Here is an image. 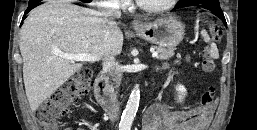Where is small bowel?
I'll return each mask as SVG.
<instances>
[{"label":"small bowel","instance_id":"1","mask_svg":"<svg viewBox=\"0 0 257 130\" xmlns=\"http://www.w3.org/2000/svg\"><path fill=\"white\" fill-rule=\"evenodd\" d=\"M215 106L172 110L165 103L152 105L143 117L142 130H205L213 117ZM76 130H85L77 128Z\"/></svg>","mask_w":257,"mask_h":130}]
</instances>
